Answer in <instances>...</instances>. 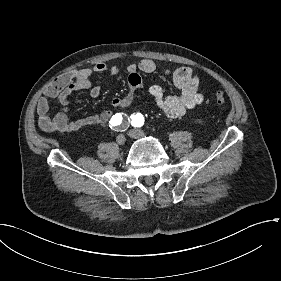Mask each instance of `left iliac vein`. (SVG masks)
Wrapping results in <instances>:
<instances>
[{"label": "left iliac vein", "mask_w": 281, "mask_h": 281, "mask_svg": "<svg viewBox=\"0 0 281 281\" xmlns=\"http://www.w3.org/2000/svg\"><path fill=\"white\" fill-rule=\"evenodd\" d=\"M128 135L132 138H135V139L143 138V137L146 136L144 131H142L140 129H132L128 132Z\"/></svg>", "instance_id": "1"}]
</instances>
